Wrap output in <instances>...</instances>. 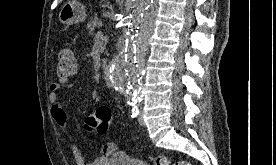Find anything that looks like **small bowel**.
<instances>
[{"mask_svg":"<svg viewBox=\"0 0 276 165\" xmlns=\"http://www.w3.org/2000/svg\"><path fill=\"white\" fill-rule=\"evenodd\" d=\"M72 86L74 85L69 82V79L65 78H60L58 82H53L50 84L49 99L51 103V115L57 125L64 131L68 143L74 153L77 165H109L112 161V157H109L108 155H100L93 160H87L77 146L72 134L68 130L67 114L62 105L59 94L65 87Z\"/></svg>","mask_w":276,"mask_h":165,"instance_id":"obj_1","label":"small bowel"}]
</instances>
